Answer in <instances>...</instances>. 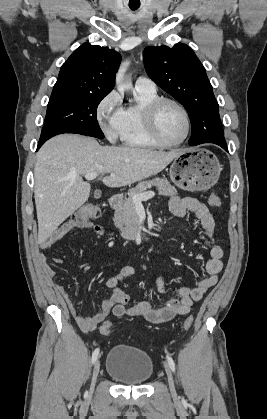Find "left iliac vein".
I'll use <instances>...</instances> for the list:
<instances>
[{"mask_svg":"<svg viewBox=\"0 0 267 419\" xmlns=\"http://www.w3.org/2000/svg\"><path fill=\"white\" fill-rule=\"evenodd\" d=\"M165 371H166V375H167V379H168V385H169L170 392H171L172 396L176 397L177 393H176V389H175L174 378H173L171 369L168 367V365H165Z\"/></svg>","mask_w":267,"mask_h":419,"instance_id":"4c4485c4","label":"left iliac vein"}]
</instances>
